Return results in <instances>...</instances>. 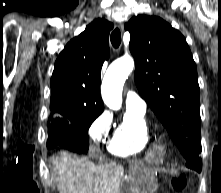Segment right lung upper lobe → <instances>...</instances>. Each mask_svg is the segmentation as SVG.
Returning <instances> with one entry per match:
<instances>
[{
    "mask_svg": "<svg viewBox=\"0 0 221 193\" xmlns=\"http://www.w3.org/2000/svg\"><path fill=\"white\" fill-rule=\"evenodd\" d=\"M113 24L94 20L59 54L51 77L53 114L70 116L102 113L100 76L103 62L109 58V32Z\"/></svg>",
    "mask_w": 221,
    "mask_h": 193,
    "instance_id": "cb5924a9",
    "label": "right lung upper lobe"
}]
</instances>
